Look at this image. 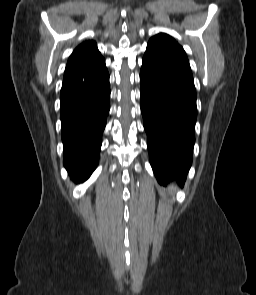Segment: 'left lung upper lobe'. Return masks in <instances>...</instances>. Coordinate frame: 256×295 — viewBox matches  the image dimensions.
<instances>
[{"label": "left lung upper lobe", "mask_w": 256, "mask_h": 295, "mask_svg": "<svg viewBox=\"0 0 256 295\" xmlns=\"http://www.w3.org/2000/svg\"><path fill=\"white\" fill-rule=\"evenodd\" d=\"M142 64L194 83L185 51L167 34L160 33L149 40Z\"/></svg>", "instance_id": "5c2ea615"}]
</instances>
